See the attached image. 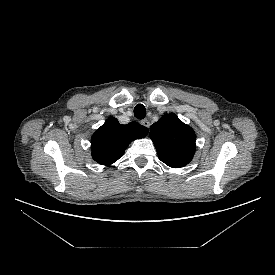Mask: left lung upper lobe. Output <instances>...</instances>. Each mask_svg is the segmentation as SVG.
Segmentation results:
<instances>
[{"label": "left lung upper lobe", "mask_w": 275, "mask_h": 275, "mask_svg": "<svg viewBox=\"0 0 275 275\" xmlns=\"http://www.w3.org/2000/svg\"><path fill=\"white\" fill-rule=\"evenodd\" d=\"M150 138L156 147L159 159L172 168L187 165L195 153L194 130L174 113L166 114L152 124Z\"/></svg>", "instance_id": "obj_1"}]
</instances>
